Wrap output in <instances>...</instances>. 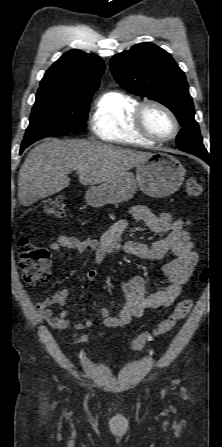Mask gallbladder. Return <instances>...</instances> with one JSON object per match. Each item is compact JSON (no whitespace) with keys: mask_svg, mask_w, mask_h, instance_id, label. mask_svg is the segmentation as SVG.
Listing matches in <instances>:
<instances>
[{"mask_svg":"<svg viewBox=\"0 0 222 447\" xmlns=\"http://www.w3.org/2000/svg\"><path fill=\"white\" fill-rule=\"evenodd\" d=\"M38 201V198L37 197H33V198H28L27 200H26V205L27 206H29V205H32L33 203H35V202H37Z\"/></svg>","mask_w":222,"mask_h":447,"instance_id":"obj_1","label":"gallbladder"}]
</instances>
